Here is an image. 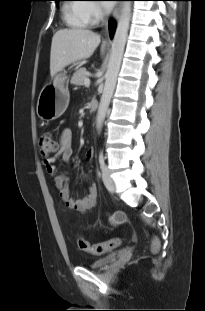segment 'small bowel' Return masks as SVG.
Instances as JSON below:
<instances>
[{
    "label": "small bowel",
    "mask_w": 205,
    "mask_h": 311,
    "mask_svg": "<svg viewBox=\"0 0 205 311\" xmlns=\"http://www.w3.org/2000/svg\"><path fill=\"white\" fill-rule=\"evenodd\" d=\"M72 143L73 134L70 129H64L60 136V148L57 154L53 157L44 159L43 163L47 172L53 177V184L55 189L58 191L61 200L64 204L73 210L79 212H86L91 210L97 197V189L94 184H91L84 197L80 199H74L70 195L68 186L67 171L60 170L55 166V162L58 157H62L65 161H69L72 157ZM95 150L90 148L86 151L85 157L88 162L94 159Z\"/></svg>",
    "instance_id": "c3829d8e"
}]
</instances>
